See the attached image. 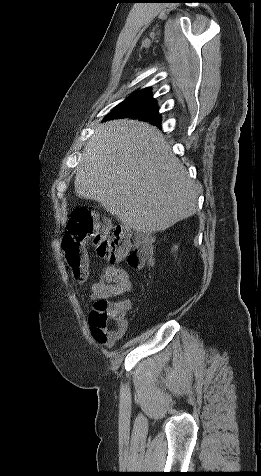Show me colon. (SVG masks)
I'll use <instances>...</instances> for the list:
<instances>
[{"mask_svg":"<svg viewBox=\"0 0 261 476\" xmlns=\"http://www.w3.org/2000/svg\"><path fill=\"white\" fill-rule=\"evenodd\" d=\"M62 245L71 274L78 281L84 280L87 275L88 247H94L99 257L111 262L126 260L135 270L150 264L153 256L149 239L135 234L128 227H111L87 207H79L72 212ZM126 311L123 302H95L90 312V326L95 340L111 345L121 337L126 328Z\"/></svg>","mask_w":261,"mask_h":476,"instance_id":"colon-1","label":"colon"}]
</instances>
